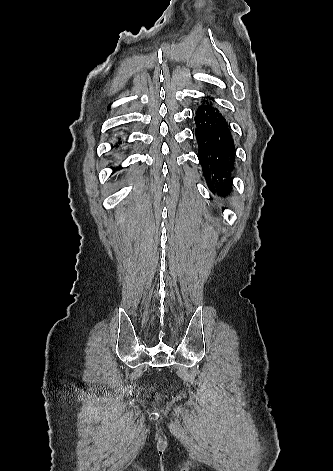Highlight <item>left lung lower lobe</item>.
Masks as SVG:
<instances>
[{
  "instance_id": "obj_1",
  "label": "left lung lower lobe",
  "mask_w": 333,
  "mask_h": 471,
  "mask_svg": "<svg viewBox=\"0 0 333 471\" xmlns=\"http://www.w3.org/2000/svg\"><path fill=\"white\" fill-rule=\"evenodd\" d=\"M198 159L209 189L229 191L235 147L226 119L215 104L203 99L195 115Z\"/></svg>"
}]
</instances>
